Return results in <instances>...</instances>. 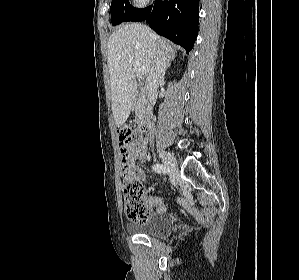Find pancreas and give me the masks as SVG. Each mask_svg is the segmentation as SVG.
Listing matches in <instances>:
<instances>
[{"instance_id": "1", "label": "pancreas", "mask_w": 299, "mask_h": 280, "mask_svg": "<svg viewBox=\"0 0 299 280\" xmlns=\"http://www.w3.org/2000/svg\"><path fill=\"white\" fill-rule=\"evenodd\" d=\"M135 114H136L137 123H141L142 118L145 114V106L141 100H137L135 102Z\"/></svg>"}]
</instances>
